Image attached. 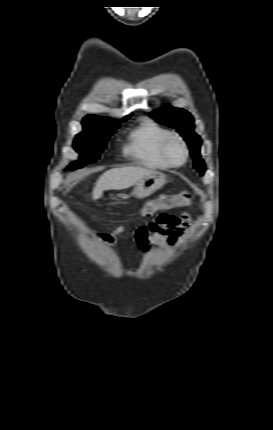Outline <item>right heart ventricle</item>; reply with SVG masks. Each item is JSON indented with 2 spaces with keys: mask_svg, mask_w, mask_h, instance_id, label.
I'll return each instance as SVG.
<instances>
[{
  "mask_svg": "<svg viewBox=\"0 0 273 430\" xmlns=\"http://www.w3.org/2000/svg\"><path fill=\"white\" fill-rule=\"evenodd\" d=\"M171 132L151 119H144L128 136L125 152L138 164L150 169H168L161 156L160 148L164 138Z\"/></svg>",
  "mask_w": 273,
  "mask_h": 430,
  "instance_id": "e07e8e85",
  "label": "right heart ventricle"
}]
</instances>
